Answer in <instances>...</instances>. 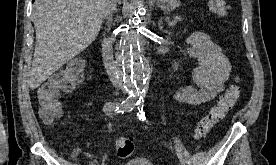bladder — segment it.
Returning <instances> with one entry per match:
<instances>
[{"label":"bladder","mask_w":276,"mask_h":165,"mask_svg":"<svg viewBox=\"0 0 276 165\" xmlns=\"http://www.w3.org/2000/svg\"><path fill=\"white\" fill-rule=\"evenodd\" d=\"M124 165H153V163L142 157H134L129 159Z\"/></svg>","instance_id":"1"}]
</instances>
